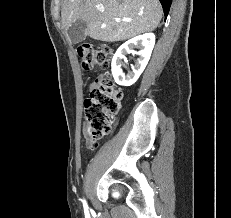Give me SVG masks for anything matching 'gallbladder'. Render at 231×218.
I'll use <instances>...</instances> for the list:
<instances>
[{
	"instance_id": "obj_1",
	"label": "gallbladder",
	"mask_w": 231,
	"mask_h": 218,
	"mask_svg": "<svg viewBox=\"0 0 231 218\" xmlns=\"http://www.w3.org/2000/svg\"><path fill=\"white\" fill-rule=\"evenodd\" d=\"M87 28V22L85 20H77L68 29V37L72 44L83 41L86 37L85 30Z\"/></svg>"
}]
</instances>
